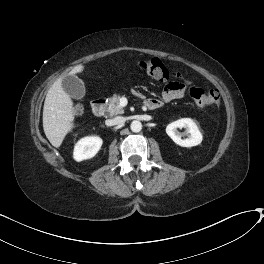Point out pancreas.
Returning a JSON list of instances; mask_svg holds the SVG:
<instances>
[{"label": "pancreas", "mask_w": 264, "mask_h": 264, "mask_svg": "<svg viewBox=\"0 0 264 264\" xmlns=\"http://www.w3.org/2000/svg\"><path fill=\"white\" fill-rule=\"evenodd\" d=\"M122 96L119 94H114L108 102L107 112L110 116L122 114L124 111L119 105V101Z\"/></svg>", "instance_id": "obj_1"}]
</instances>
